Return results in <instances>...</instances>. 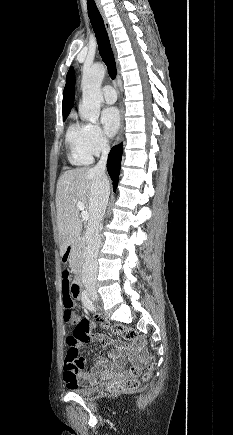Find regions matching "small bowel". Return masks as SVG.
I'll return each mask as SVG.
<instances>
[{
  "label": "small bowel",
  "instance_id": "c3829d8e",
  "mask_svg": "<svg viewBox=\"0 0 233 435\" xmlns=\"http://www.w3.org/2000/svg\"><path fill=\"white\" fill-rule=\"evenodd\" d=\"M61 292L63 295L71 294L73 295V285L70 281L65 284L61 279ZM83 297V295H82ZM81 297V301H82ZM98 317V315H96ZM95 323L88 318H79L77 325L75 326L73 332L68 336L78 342V348L82 345L89 343L90 341H96L101 343L103 346L113 347L110 351V357L114 360L122 359L130 354H134L135 357L131 359V367L124 370L118 364H110L108 359L104 357H99L95 359L92 365V371L90 373H84V362L81 364H76L69 362L66 358L62 364V381L70 389L77 386L93 383L96 380L97 375H107L110 372L118 370V373L122 376L135 377L142 373L145 368V361L142 358L143 354L146 352L144 346L142 345L141 339H135L131 342L128 349H125L122 345L117 343L111 336L107 334H94L92 329ZM104 328H107L106 324H103ZM67 338V339H68Z\"/></svg>",
  "mask_w": 233,
  "mask_h": 435
}]
</instances>
